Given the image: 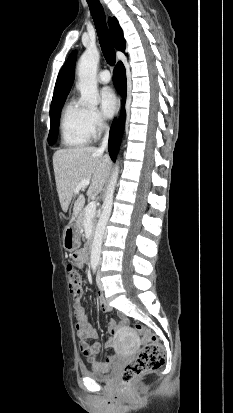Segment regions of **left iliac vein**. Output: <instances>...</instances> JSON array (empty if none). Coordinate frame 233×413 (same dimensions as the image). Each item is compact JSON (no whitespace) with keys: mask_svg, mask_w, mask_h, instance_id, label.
<instances>
[{"mask_svg":"<svg viewBox=\"0 0 233 413\" xmlns=\"http://www.w3.org/2000/svg\"><path fill=\"white\" fill-rule=\"evenodd\" d=\"M96 281H97V286H98V288H99L101 291H103V290H104V286H103V283H102V280H101V274H100V272H98V274H97Z\"/></svg>","mask_w":233,"mask_h":413,"instance_id":"4c4485c4","label":"left iliac vein"}]
</instances>
